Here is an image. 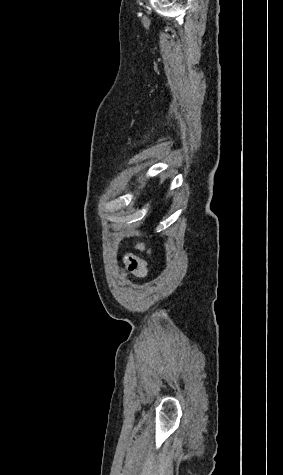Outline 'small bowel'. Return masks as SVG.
<instances>
[{"label": "small bowel", "instance_id": "obj_1", "mask_svg": "<svg viewBox=\"0 0 283 475\" xmlns=\"http://www.w3.org/2000/svg\"><path fill=\"white\" fill-rule=\"evenodd\" d=\"M139 249L150 253V250L147 249L144 245H140ZM123 264L126 273L133 278L141 279L148 275L147 262L138 256H135L133 254L124 255Z\"/></svg>", "mask_w": 283, "mask_h": 475}]
</instances>
